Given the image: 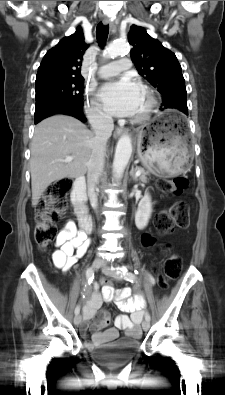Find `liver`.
<instances>
[{
  "instance_id": "1",
  "label": "liver",
  "mask_w": 225,
  "mask_h": 395,
  "mask_svg": "<svg viewBox=\"0 0 225 395\" xmlns=\"http://www.w3.org/2000/svg\"><path fill=\"white\" fill-rule=\"evenodd\" d=\"M94 137L82 122L66 115L51 116L36 126L30 158L32 206L52 182L87 172ZM68 156L73 160L64 162Z\"/></svg>"
}]
</instances>
